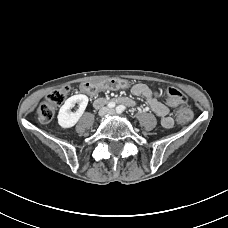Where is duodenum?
Masks as SVG:
<instances>
[{
  "label": "duodenum",
  "instance_id": "410a0bca",
  "mask_svg": "<svg viewBox=\"0 0 228 228\" xmlns=\"http://www.w3.org/2000/svg\"><path fill=\"white\" fill-rule=\"evenodd\" d=\"M115 101L117 103H119L120 105H123V106H131V105H133V101L131 99L127 98V97H118V98H115ZM105 102H106V99L98 98L97 100H95V105L99 106V105H102Z\"/></svg>",
  "mask_w": 228,
  "mask_h": 228
}]
</instances>
